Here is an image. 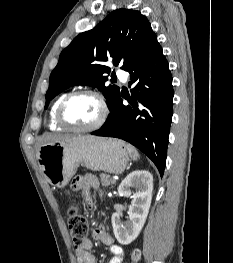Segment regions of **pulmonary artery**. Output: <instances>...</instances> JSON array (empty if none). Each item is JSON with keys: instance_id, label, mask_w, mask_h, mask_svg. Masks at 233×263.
Masks as SVG:
<instances>
[{"instance_id": "e3ab8cb5", "label": "pulmonary artery", "mask_w": 233, "mask_h": 263, "mask_svg": "<svg viewBox=\"0 0 233 263\" xmlns=\"http://www.w3.org/2000/svg\"><path fill=\"white\" fill-rule=\"evenodd\" d=\"M117 76L122 82H126L128 77L127 73L122 69L117 70Z\"/></svg>"}]
</instances>
